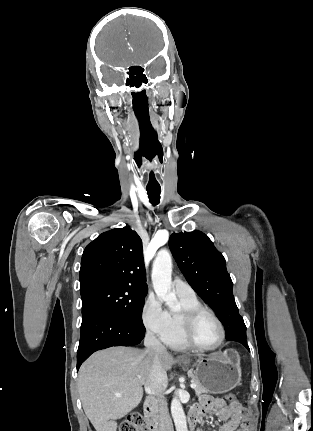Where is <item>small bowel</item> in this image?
Listing matches in <instances>:
<instances>
[{"mask_svg": "<svg viewBox=\"0 0 313 431\" xmlns=\"http://www.w3.org/2000/svg\"><path fill=\"white\" fill-rule=\"evenodd\" d=\"M191 413H194L198 420L207 413H214L221 422L218 431L250 430L249 416L238 402L228 405L221 398H212L205 395L201 397L199 404L194 406Z\"/></svg>", "mask_w": 313, "mask_h": 431, "instance_id": "c3829d8e", "label": "small bowel"}]
</instances>
